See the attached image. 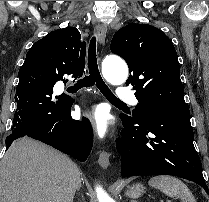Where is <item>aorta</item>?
I'll use <instances>...</instances> for the list:
<instances>
[{
	"label": "aorta",
	"mask_w": 209,
	"mask_h": 202,
	"mask_svg": "<svg viewBox=\"0 0 209 202\" xmlns=\"http://www.w3.org/2000/svg\"><path fill=\"white\" fill-rule=\"evenodd\" d=\"M103 74L114 85L123 84L128 77V67L125 62L116 57H106L103 62ZM96 195L99 202H115L102 187H96Z\"/></svg>",
	"instance_id": "1"
}]
</instances>
